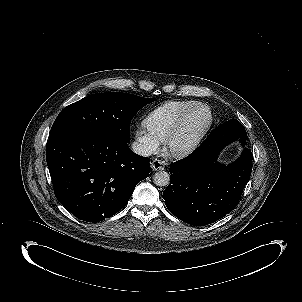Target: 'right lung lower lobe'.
Segmentation results:
<instances>
[{
	"label": "right lung lower lobe",
	"mask_w": 302,
	"mask_h": 302,
	"mask_svg": "<svg viewBox=\"0 0 302 302\" xmlns=\"http://www.w3.org/2000/svg\"><path fill=\"white\" fill-rule=\"evenodd\" d=\"M46 160L59 202L77 218L99 222L126 206L150 172V159L112 135L84 130L49 138Z\"/></svg>",
	"instance_id": "98d812e1"
}]
</instances>
